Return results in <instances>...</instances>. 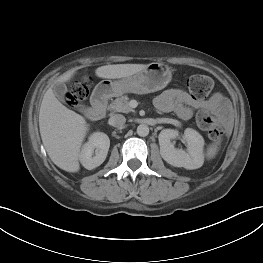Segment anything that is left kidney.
Instances as JSON below:
<instances>
[{
	"instance_id": "left-kidney-1",
	"label": "left kidney",
	"mask_w": 263,
	"mask_h": 263,
	"mask_svg": "<svg viewBox=\"0 0 263 263\" xmlns=\"http://www.w3.org/2000/svg\"><path fill=\"white\" fill-rule=\"evenodd\" d=\"M177 136V131L164 129L160 132L158 139L162 158L175 167H184L192 170L200 168L204 162V139L194 129L187 128L184 138L187 142V150L176 149L171 142Z\"/></svg>"
}]
</instances>
